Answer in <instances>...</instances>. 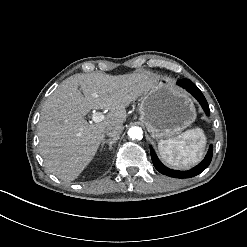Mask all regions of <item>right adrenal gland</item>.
<instances>
[{
    "instance_id": "1",
    "label": "right adrenal gland",
    "mask_w": 247,
    "mask_h": 247,
    "mask_svg": "<svg viewBox=\"0 0 247 247\" xmlns=\"http://www.w3.org/2000/svg\"><path fill=\"white\" fill-rule=\"evenodd\" d=\"M116 142V139L113 138H108V139H103L101 141V144L103 145L104 143H108L109 144V148L112 149L113 144Z\"/></svg>"
}]
</instances>
